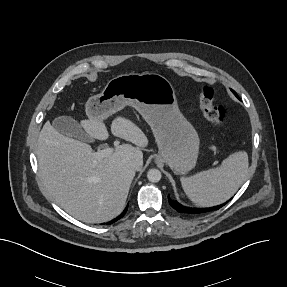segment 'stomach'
<instances>
[{"label": "stomach", "mask_w": 287, "mask_h": 287, "mask_svg": "<svg viewBox=\"0 0 287 287\" xmlns=\"http://www.w3.org/2000/svg\"><path fill=\"white\" fill-rule=\"evenodd\" d=\"M134 107L149 124L159 148L156 162L175 174L192 170L199 153V137L180 112L172 84L157 73H130L112 78L86 104L89 119H105L125 106Z\"/></svg>", "instance_id": "1"}]
</instances>
